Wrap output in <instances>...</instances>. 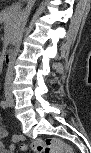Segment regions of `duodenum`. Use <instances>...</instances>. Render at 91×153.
Returning <instances> with one entry per match:
<instances>
[{"label": "duodenum", "instance_id": "obj_1", "mask_svg": "<svg viewBox=\"0 0 91 153\" xmlns=\"http://www.w3.org/2000/svg\"><path fill=\"white\" fill-rule=\"evenodd\" d=\"M16 55L15 49H8L5 51L3 55V60L6 65H10L13 62V59Z\"/></svg>", "mask_w": 91, "mask_h": 153}]
</instances>
